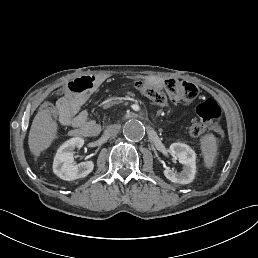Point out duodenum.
Returning a JSON list of instances; mask_svg holds the SVG:
<instances>
[{"mask_svg":"<svg viewBox=\"0 0 258 258\" xmlns=\"http://www.w3.org/2000/svg\"><path fill=\"white\" fill-rule=\"evenodd\" d=\"M77 135H78V136H87V135H86L85 133H83V132H78Z\"/></svg>","mask_w":258,"mask_h":258,"instance_id":"1","label":"duodenum"}]
</instances>
